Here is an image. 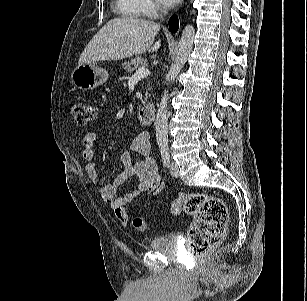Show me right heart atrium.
<instances>
[{
  "label": "right heart atrium",
  "mask_w": 307,
  "mask_h": 301,
  "mask_svg": "<svg viewBox=\"0 0 307 301\" xmlns=\"http://www.w3.org/2000/svg\"><path fill=\"white\" fill-rule=\"evenodd\" d=\"M158 5L155 0H142V11L147 17H155L158 14Z\"/></svg>",
  "instance_id": "obj_1"
}]
</instances>
